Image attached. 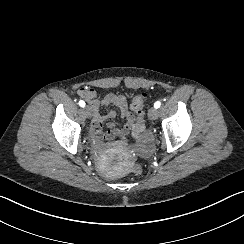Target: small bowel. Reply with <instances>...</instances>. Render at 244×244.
Instances as JSON below:
<instances>
[{
	"instance_id": "1",
	"label": "small bowel",
	"mask_w": 244,
	"mask_h": 244,
	"mask_svg": "<svg viewBox=\"0 0 244 244\" xmlns=\"http://www.w3.org/2000/svg\"><path fill=\"white\" fill-rule=\"evenodd\" d=\"M78 95L87 101L93 112V120L91 129L97 140H111L114 137H125L131 132L134 125L135 117L129 108L127 99L125 96L115 93L106 94L101 100L96 98V93L94 90L88 88H81L78 90ZM115 105L120 110V116L125 121V124L121 127L117 126L113 122L107 124V130H102V124L104 121L111 120L115 118L116 112L113 110L107 111L106 113H100L99 109L101 106ZM139 139L140 145L138 147L139 152L143 157L148 158L152 154L150 148V138L144 135Z\"/></svg>"
}]
</instances>
